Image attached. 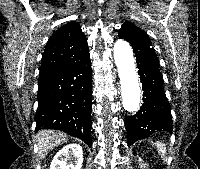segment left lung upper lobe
Instances as JSON below:
<instances>
[{
    "mask_svg": "<svg viewBox=\"0 0 200 169\" xmlns=\"http://www.w3.org/2000/svg\"><path fill=\"white\" fill-rule=\"evenodd\" d=\"M118 36L130 42L136 58L148 59L159 65L152 43L143 30L130 22H125L119 29Z\"/></svg>",
    "mask_w": 200,
    "mask_h": 169,
    "instance_id": "obj_1",
    "label": "left lung upper lobe"
}]
</instances>
